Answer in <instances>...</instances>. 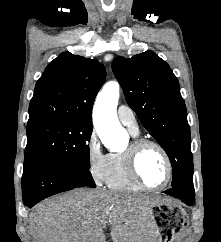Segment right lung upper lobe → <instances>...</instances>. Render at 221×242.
<instances>
[{"mask_svg": "<svg viewBox=\"0 0 221 242\" xmlns=\"http://www.w3.org/2000/svg\"><path fill=\"white\" fill-rule=\"evenodd\" d=\"M106 71L96 59L61 53L37 81L27 126L54 121L92 124L94 99Z\"/></svg>", "mask_w": 221, "mask_h": 242, "instance_id": "right-lung-upper-lobe-1", "label": "right lung upper lobe"}]
</instances>
